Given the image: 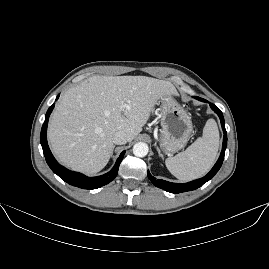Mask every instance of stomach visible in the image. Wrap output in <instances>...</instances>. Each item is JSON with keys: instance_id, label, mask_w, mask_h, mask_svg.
Masks as SVG:
<instances>
[{"instance_id": "obj_1", "label": "stomach", "mask_w": 269, "mask_h": 269, "mask_svg": "<svg viewBox=\"0 0 269 269\" xmlns=\"http://www.w3.org/2000/svg\"><path fill=\"white\" fill-rule=\"evenodd\" d=\"M157 105L162 109L159 146L164 153H175L186 146L192 134L191 118L172 97L161 98Z\"/></svg>"}]
</instances>
